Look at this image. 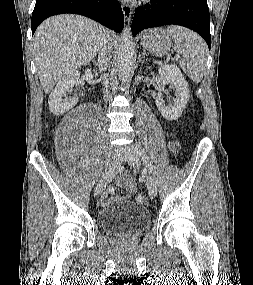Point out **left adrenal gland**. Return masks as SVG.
<instances>
[{
	"mask_svg": "<svg viewBox=\"0 0 253 285\" xmlns=\"http://www.w3.org/2000/svg\"><path fill=\"white\" fill-rule=\"evenodd\" d=\"M145 56H146V52H145V51H143V52H142V54H141V55H139V58H138V59H139V61H141V59H142V58H145Z\"/></svg>",
	"mask_w": 253,
	"mask_h": 285,
	"instance_id": "left-adrenal-gland-1",
	"label": "left adrenal gland"
}]
</instances>
